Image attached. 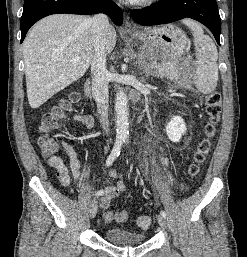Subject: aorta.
Here are the masks:
<instances>
[{
	"instance_id": "1",
	"label": "aorta",
	"mask_w": 247,
	"mask_h": 257,
	"mask_svg": "<svg viewBox=\"0 0 247 257\" xmlns=\"http://www.w3.org/2000/svg\"><path fill=\"white\" fill-rule=\"evenodd\" d=\"M115 114L116 137L119 140H126L129 135L128 98L127 94L122 89L116 94Z\"/></svg>"
}]
</instances>
